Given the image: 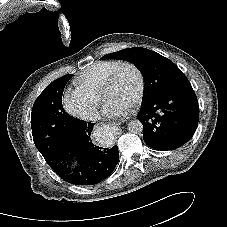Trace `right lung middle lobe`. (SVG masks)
<instances>
[{"label": "right lung middle lobe", "mask_w": 227, "mask_h": 227, "mask_svg": "<svg viewBox=\"0 0 227 227\" xmlns=\"http://www.w3.org/2000/svg\"><path fill=\"white\" fill-rule=\"evenodd\" d=\"M71 74L51 82L36 99L31 113V128L34 144L44 156L57 143V135L63 126L72 120V116L64 111L62 94Z\"/></svg>", "instance_id": "1"}]
</instances>
